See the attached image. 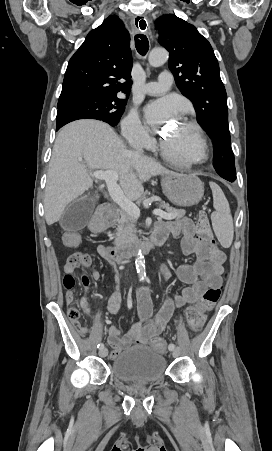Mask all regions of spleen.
I'll use <instances>...</instances> for the list:
<instances>
[{
	"mask_svg": "<svg viewBox=\"0 0 272 451\" xmlns=\"http://www.w3.org/2000/svg\"><path fill=\"white\" fill-rule=\"evenodd\" d=\"M213 194V206L216 212L211 214L212 227L223 247H230L233 241L234 226L229 202L226 200L220 186L209 182Z\"/></svg>",
	"mask_w": 272,
	"mask_h": 451,
	"instance_id": "3e777b00",
	"label": "spleen"
}]
</instances>
